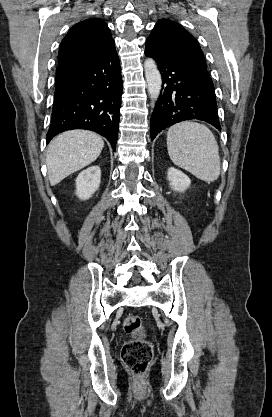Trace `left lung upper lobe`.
Returning <instances> with one entry per match:
<instances>
[{"instance_id": "1", "label": "left lung upper lobe", "mask_w": 272, "mask_h": 417, "mask_svg": "<svg viewBox=\"0 0 272 417\" xmlns=\"http://www.w3.org/2000/svg\"><path fill=\"white\" fill-rule=\"evenodd\" d=\"M146 50L160 56H172L206 66L197 40L180 24L160 20L146 40Z\"/></svg>"}]
</instances>
